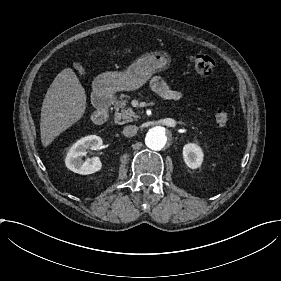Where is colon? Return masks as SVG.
<instances>
[{
    "mask_svg": "<svg viewBox=\"0 0 281 281\" xmlns=\"http://www.w3.org/2000/svg\"><path fill=\"white\" fill-rule=\"evenodd\" d=\"M94 54L97 58H114L127 60L138 55V47L130 46L119 49L101 48L95 49ZM190 61L198 71V73L208 80H215L220 75L214 60L207 54L195 53L190 55ZM230 119V105L223 102L218 105L214 113V123L216 127H226Z\"/></svg>",
    "mask_w": 281,
    "mask_h": 281,
    "instance_id": "colon-1",
    "label": "colon"
}]
</instances>
